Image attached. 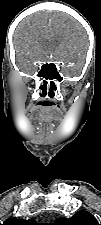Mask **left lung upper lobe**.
I'll list each match as a JSON object with an SVG mask.
<instances>
[{
	"instance_id": "left-lung-upper-lobe-1",
	"label": "left lung upper lobe",
	"mask_w": 101,
	"mask_h": 225,
	"mask_svg": "<svg viewBox=\"0 0 101 225\" xmlns=\"http://www.w3.org/2000/svg\"><path fill=\"white\" fill-rule=\"evenodd\" d=\"M52 225H99L95 217L88 211H78L71 218H59Z\"/></svg>"
}]
</instances>
